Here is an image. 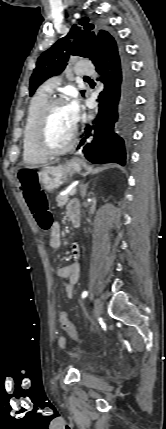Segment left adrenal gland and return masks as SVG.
I'll return each mask as SVG.
<instances>
[{
    "label": "left adrenal gland",
    "instance_id": "1",
    "mask_svg": "<svg viewBox=\"0 0 166 429\" xmlns=\"http://www.w3.org/2000/svg\"><path fill=\"white\" fill-rule=\"evenodd\" d=\"M87 186H88V184H80V192H81L82 198H84L86 195Z\"/></svg>",
    "mask_w": 166,
    "mask_h": 429
}]
</instances>
